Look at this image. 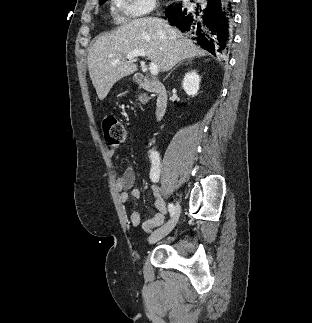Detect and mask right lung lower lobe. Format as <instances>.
Segmentation results:
<instances>
[{
  "label": "right lung lower lobe",
  "instance_id": "obj_1",
  "mask_svg": "<svg viewBox=\"0 0 312 323\" xmlns=\"http://www.w3.org/2000/svg\"><path fill=\"white\" fill-rule=\"evenodd\" d=\"M234 4L230 0H190L184 9L181 4L170 6L165 18L172 26L190 33L201 48L223 56L232 40Z\"/></svg>",
  "mask_w": 312,
  "mask_h": 323
}]
</instances>
